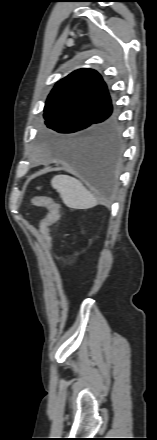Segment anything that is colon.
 I'll list each match as a JSON object with an SVG mask.
<instances>
[{
	"instance_id": "obj_1",
	"label": "colon",
	"mask_w": 157,
	"mask_h": 440,
	"mask_svg": "<svg viewBox=\"0 0 157 440\" xmlns=\"http://www.w3.org/2000/svg\"><path fill=\"white\" fill-rule=\"evenodd\" d=\"M32 202L34 205L45 208L48 211L47 217L42 221L40 225V230L42 235L44 236L47 247L50 249V229L59 220L60 207L55 201L46 196H35Z\"/></svg>"
}]
</instances>
